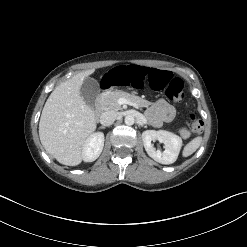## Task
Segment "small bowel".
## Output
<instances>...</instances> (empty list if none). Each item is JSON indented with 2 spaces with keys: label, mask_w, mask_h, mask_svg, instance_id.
I'll return each instance as SVG.
<instances>
[{
  "label": "small bowel",
  "mask_w": 247,
  "mask_h": 247,
  "mask_svg": "<svg viewBox=\"0 0 247 247\" xmlns=\"http://www.w3.org/2000/svg\"><path fill=\"white\" fill-rule=\"evenodd\" d=\"M174 114V108L165 100L157 101L151 109V116L156 125H159L162 121L170 122Z\"/></svg>",
  "instance_id": "c3829d8e"
}]
</instances>
